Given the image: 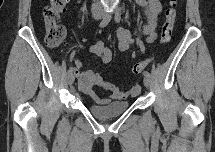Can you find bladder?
Instances as JSON below:
<instances>
[{"mask_svg":"<svg viewBox=\"0 0 215 152\" xmlns=\"http://www.w3.org/2000/svg\"><path fill=\"white\" fill-rule=\"evenodd\" d=\"M129 106V101H114L104 105L91 104L89 111L92 115L98 118L107 119L121 115L129 108Z\"/></svg>","mask_w":215,"mask_h":152,"instance_id":"1","label":"bladder"}]
</instances>
